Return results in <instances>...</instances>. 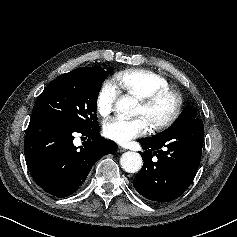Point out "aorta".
I'll return each mask as SVG.
<instances>
[{"label": "aorta", "mask_w": 237, "mask_h": 237, "mask_svg": "<svg viewBox=\"0 0 237 237\" xmlns=\"http://www.w3.org/2000/svg\"><path fill=\"white\" fill-rule=\"evenodd\" d=\"M137 105V102L131 96H126L119 99L116 102V110L117 112L125 115V116H133L134 109ZM142 157L132 151H128L122 154L120 158V165L128 173L138 172L142 167Z\"/></svg>", "instance_id": "1"}]
</instances>
